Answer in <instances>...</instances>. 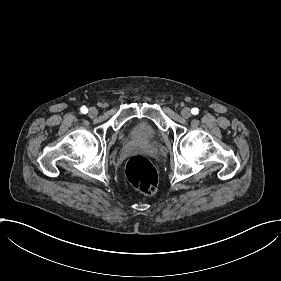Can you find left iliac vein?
Listing matches in <instances>:
<instances>
[{
    "label": "left iliac vein",
    "mask_w": 281,
    "mask_h": 281,
    "mask_svg": "<svg viewBox=\"0 0 281 281\" xmlns=\"http://www.w3.org/2000/svg\"><path fill=\"white\" fill-rule=\"evenodd\" d=\"M180 115L184 119L190 118V116H191L190 108H188V107L183 108Z\"/></svg>",
    "instance_id": "1"
}]
</instances>
